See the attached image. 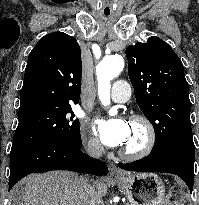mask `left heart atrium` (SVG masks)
I'll return each mask as SVG.
<instances>
[{"mask_svg": "<svg viewBox=\"0 0 199 205\" xmlns=\"http://www.w3.org/2000/svg\"><path fill=\"white\" fill-rule=\"evenodd\" d=\"M95 131L103 144L116 147L126 142L130 127L129 123L123 118L101 119L96 121Z\"/></svg>", "mask_w": 199, "mask_h": 205, "instance_id": "39dd6f15", "label": "left heart atrium"}]
</instances>
